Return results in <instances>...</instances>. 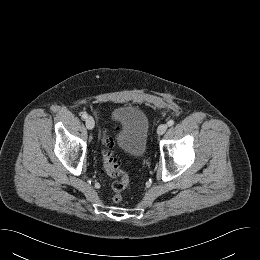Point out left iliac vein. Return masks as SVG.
I'll return each mask as SVG.
<instances>
[{"mask_svg":"<svg viewBox=\"0 0 260 260\" xmlns=\"http://www.w3.org/2000/svg\"><path fill=\"white\" fill-rule=\"evenodd\" d=\"M168 126L166 124H161L159 125L158 129H157V134L158 135H162L166 132Z\"/></svg>","mask_w":260,"mask_h":260,"instance_id":"4c4485c4","label":"left iliac vein"}]
</instances>
